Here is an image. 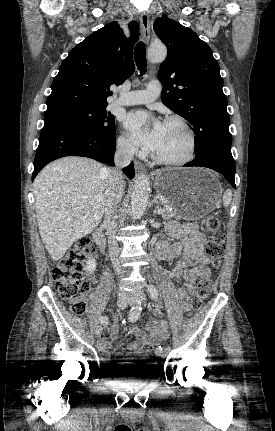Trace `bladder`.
<instances>
[{"mask_svg":"<svg viewBox=\"0 0 275 431\" xmlns=\"http://www.w3.org/2000/svg\"><path fill=\"white\" fill-rule=\"evenodd\" d=\"M108 367L107 374L110 378L119 383L146 382L150 379L151 373L136 363H121L113 360H106Z\"/></svg>","mask_w":275,"mask_h":431,"instance_id":"1","label":"bladder"}]
</instances>
